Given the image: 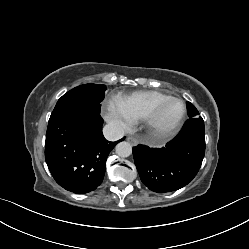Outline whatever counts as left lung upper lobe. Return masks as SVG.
Masks as SVG:
<instances>
[{"label":"left lung upper lobe","instance_id":"left-lung-upper-lobe-1","mask_svg":"<svg viewBox=\"0 0 249 249\" xmlns=\"http://www.w3.org/2000/svg\"><path fill=\"white\" fill-rule=\"evenodd\" d=\"M186 106H187V112H188L189 118L198 117L199 112L193 104H191L190 102H187Z\"/></svg>","mask_w":249,"mask_h":249}]
</instances>
